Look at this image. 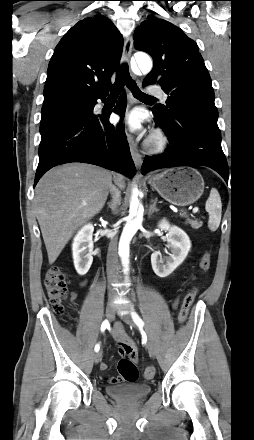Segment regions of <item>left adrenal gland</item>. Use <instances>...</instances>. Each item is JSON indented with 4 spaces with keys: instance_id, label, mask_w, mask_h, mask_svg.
Returning a JSON list of instances; mask_svg holds the SVG:
<instances>
[{
    "instance_id": "obj_1",
    "label": "left adrenal gland",
    "mask_w": 254,
    "mask_h": 440,
    "mask_svg": "<svg viewBox=\"0 0 254 440\" xmlns=\"http://www.w3.org/2000/svg\"><path fill=\"white\" fill-rule=\"evenodd\" d=\"M156 203H157V198H155V200L152 201V204L149 207V212H148V216L150 217L154 212L159 211V209L156 207Z\"/></svg>"
}]
</instances>
